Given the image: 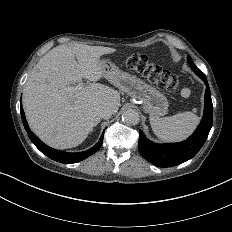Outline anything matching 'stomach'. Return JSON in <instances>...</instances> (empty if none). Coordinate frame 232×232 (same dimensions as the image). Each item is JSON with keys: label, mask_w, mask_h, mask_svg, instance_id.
<instances>
[{"label": "stomach", "mask_w": 232, "mask_h": 232, "mask_svg": "<svg viewBox=\"0 0 232 232\" xmlns=\"http://www.w3.org/2000/svg\"><path fill=\"white\" fill-rule=\"evenodd\" d=\"M103 77L122 92L127 93L134 99H139L144 109L151 116H163L168 111L167 98L156 88L148 85L136 76L130 75L118 69L110 60H100Z\"/></svg>", "instance_id": "1"}]
</instances>
